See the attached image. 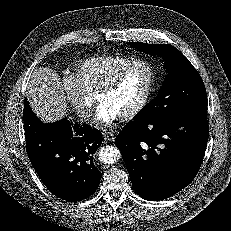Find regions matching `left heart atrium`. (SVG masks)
Here are the masks:
<instances>
[{"mask_svg": "<svg viewBox=\"0 0 231 231\" xmlns=\"http://www.w3.org/2000/svg\"><path fill=\"white\" fill-rule=\"evenodd\" d=\"M120 118L109 105L100 103L96 110V120L100 123L111 125Z\"/></svg>", "mask_w": 231, "mask_h": 231, "instance_id": "obj_1", "label": "left heart atrium"}]
</instances>
